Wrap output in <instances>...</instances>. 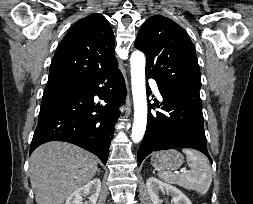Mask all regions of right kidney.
I'll use <instances>...</instances> for the list:
<instances>
[{
	"label": "right kidney",
	"instance_id": "1",
	"mask_svg": "<svg viewBox=\"0 0 253 204\" xmlns=\"http://www.w3.org/2000/svg\"><path fill=\"white\" fill-rule=\"evenodd\" d=\"M101 190V181L95 178L86 185L76 189L66 200L65 204H96ZM90 195V196H89ZM83 196H88V202L83 203Z\"/></svg>",
	"mask_w": 253,
	"mask_h": 204
}]
</instances>
